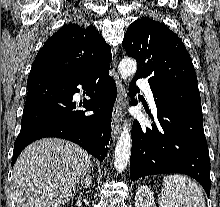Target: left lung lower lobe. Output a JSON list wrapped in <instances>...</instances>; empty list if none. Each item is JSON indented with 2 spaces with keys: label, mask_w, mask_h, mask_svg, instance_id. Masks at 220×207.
Here are the masks:
<instances>
[{
  "label": "left lung lower lobe",
  "mask_w": 220,
  "mask_h": 207,
  "mask_svg": "<svg viewBox=\"0 0 220 207\" xmlns=\"http://www.w3.org/2000/svg\"><path fill=\"white\" fill-rule=\"evenodd\" d=\"M138 78L135 76L131 85L134 92L139 91L135 85ZM151 89L158 121L152 128L133 123L130 179L182 173L195 178L209 196L210 160L197 83L176 80Z\"/></svg>",
  "instance_id": "1"
}]
</instances>
